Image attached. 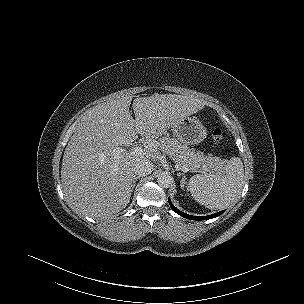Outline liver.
Listing matches in <instances>:
<instances>
[{"instance_id": "liver-1", "label": "liver", "mask_w": 304, "mask_h": 304, "mask_svg": "<svg viewBox=\"0 0 304 304\" xmlns=\"http://www.w3.org/2000/svg\"><path fill=\"white\" fill-rule=\"evenodd\" d=\"M112 99L88 109L68 142L61 181L72 208L91 218L123 210L133 191L134 164L155 161L167 129L201 110L205 103L192 96L156 94L133 100ZM145 137L140 153L119 146Z\"/></svg>"}]
</instances>
